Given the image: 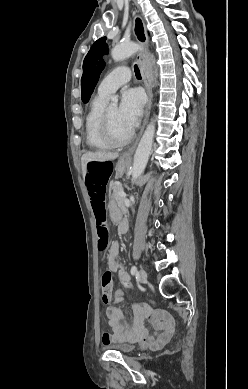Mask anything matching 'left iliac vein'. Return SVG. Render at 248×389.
I'll return each instance as SVG.
<instances>
[{
	"mask_svg": "<svg viewBox=\"0 0 248 389\" xmlns=\"http://www.w3.org/2000/svg\"><path fill=\"white\" fill-rule=\"evenodd\" d=\"M138 279L140 282L145 283L147 281V273L144 269H141L138 273Z\"/></svg>",
	"mask_w": 248,
	"mask_h": 389,
	"instance_id": "4c4485c4",
	"label": "left iliac vein"
}]
</instances>
